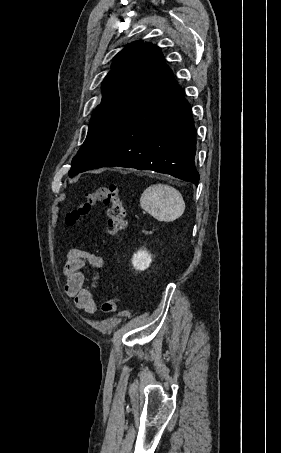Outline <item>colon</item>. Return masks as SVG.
<instances>
[{
  "label": "colon",
  "instance_id": "obj_1",
  "mask_svg": "<svg viewBox=\"0 0 281 453\" xmlns=\"http://www.w3.org/2000/svg\"><path fill=\"white\" fill-rule=\"evenodd\" d=\"M99 204L109 208V217L103 228V233L106 236H114L127 229L128 220L125 212V199L122 188L118 183L99 187L95 192L86 194L77 207L67 215L66 224L70 227L83 224L88 218L90 210ZM120 301L119 296L106 299L101 305L102 313L105 315L115 313Z\"/></svg>",
  "mask_w": 281,
  "mask_h": 453
}]
</instances>
